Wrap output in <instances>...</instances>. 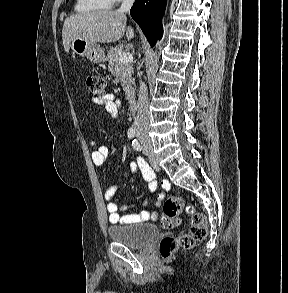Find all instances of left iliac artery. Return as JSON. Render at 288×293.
<instances>
[{
  "label": "left iliac artery",
  "instance_id": "1",
  "mask_svg": "<svg viewBox=\"0 0 288 293\" xmlns=\"http://www.w3.org/2000/svg\"><path fill=\"white\" fill-rule=\"evenodd\" d=\"M132 146L134 147L135 150L140 151L142 149V147L140 146V144L138 143V141L136 139H134L132 141Z\"/></svg>",
  "mask_w": 288,
  "mask_h": 293
}]
</instances>
